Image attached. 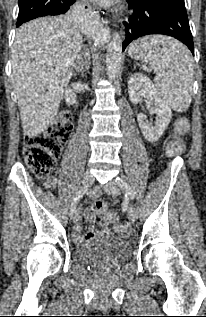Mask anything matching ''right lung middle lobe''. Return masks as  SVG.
<instances>
[{"label": "right lung middle lobe", "instance_id": "1", "mask_svg": "<svg viewBox=\"0 0 206 317\" xmlns=\"http://www.w3.org/2000/svg\"><path fill=\"white\" fill-rule=\"evenodd\" d=\"M60 0H18L19 14L17 27L22 23L47 15H59L56 9Z\"/></svg>", "mask_w": 206, "mask_h": 317}]
</instances>
